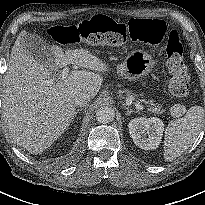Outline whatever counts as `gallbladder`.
<instances>
[{
	"label": "gallbladder",
	"instance_id": "1",
	"mask_svg": "<svg viewBox=\"0 0 205 205\" xmlns=\"http://www.w3.org/2000/svg\"><path fill=\"white\" fill-rule=\"evenodd\" d=\"M23 42L26 50L35 60L46 64L49 59L53 58L49 44L37 34L27 33Z\"/></svg>",
	"mask_w": 205,
	"mask_h": 205
}]
</instances>
